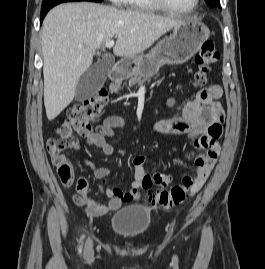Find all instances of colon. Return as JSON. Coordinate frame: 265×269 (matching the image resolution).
I'll return each instance as SVG.
<instances>
[{"mask_svg":"<svg viewBox=\"0 0 265 269\" xmlns=\"http://www.w3.org/2000/svg\"><path fill=\"white\" fill-rule=\"evenodd\" d=\"M220 54L212 41L204 42L195 58L197 72L196 85L206 83L212 67L219 61ZM108 104V93L100 90L82 104L72 107L62 123L55 129L54 137L48 140V150L52 156L61 183L70 186L74 182L75 168L67 160L63 151L73 147L75 135L87 136L92 134L91 122L96 119ZM209 135L218 139L221 136V125L216 122L209 128ZM196 191L195 182L190 176H185L181 184L167 191H157L149 194V199L161 207H174L183 204Z\"/></svg>","mask_w":265,"mask_h":269,"instance_id":"colon-1","label":"colon"}]
</instances>
